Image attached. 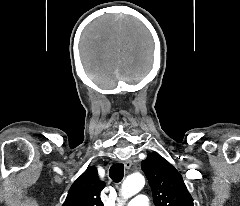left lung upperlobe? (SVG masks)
Listing matches in <instances>:
<instances>
[{"mask_svg":"<svg viewBox=\"0 0 240 206\" xmlns=\"http://www.w3.org/2000/svg\"><path fill=\"white\" fill-rule=\"evenodd\" d=\"M156 206H194L181 174L157 153L141 163Z\"/></svg>","mask_w":240,"mask_h":206,"instance_id":"obj_1","label":"left lung upper lobe"}]
</instances>
